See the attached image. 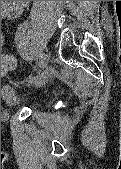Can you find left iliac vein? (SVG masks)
Returning a JSON list of instances; mask_svg holds the SVG:
<instances>
[{
    "mask_svg": "<svg viewBox=\"0 0 121 169\" xmlns=\"http://www.w3.org/2000/svg\"><path fill=\"white\" fill-rule=\"evenodd\" d=\"M48 61H49L48 54L42 53L40 57V62L44 65L45 69L43 70V73L39 74V76L34 81L30 82L31 84L37 87H41L48 82L50 76L49 70L46 68L48 65Z\"/></svg>",
    "mask_w": 121,
    "mask_h": 169,
    "instance_id": "4c4485c4",
    "label": "left iliac vein"
}]
</instances>
